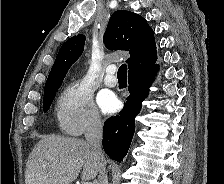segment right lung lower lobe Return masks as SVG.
I'll return each mask as SVG.
<instances>
[{
    "instance_id": "1",
    "label": "right lung lower lobe",
    "mask_w": 224,
    "mask_h": 184,
    "mask_svg": "<svg viewBox=\"0 0 224 184\" xmlns=\"http://www.w3.org/2000/svg\"><path fill=\"white\" fill-rule=\"evenodd\" d=\"M159 69L153 64L140 71L129 74V97L118 116L107 119L103 127V148L105 153L121 162L130 147L135 131V117L139 114L142 101L147 98L149 88Z\"/></svg>"
}]
</instances>
